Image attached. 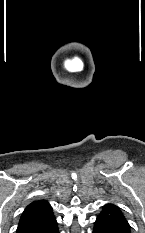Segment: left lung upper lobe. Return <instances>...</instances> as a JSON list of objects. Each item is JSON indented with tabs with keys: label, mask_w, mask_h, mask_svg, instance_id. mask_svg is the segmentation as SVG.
<instances>
[{
	"label": "left lung upper lobe",
	"mask_w": 145,
	"mask_h": 233,
	"mask_svg": "<svg viewBox=\"0 0 145 233\" xmlns=\"http://www.w3.org/2000/svg\"><path fill=\"white\" fill-rule=\"evenodd\" d=\"M98 221L117 233H130L131 227L121 209L113 204H106L97 216Z\"/></svg>",
	"instance_id": "left-lung-upper-lobe-1"
}]
</instances>
